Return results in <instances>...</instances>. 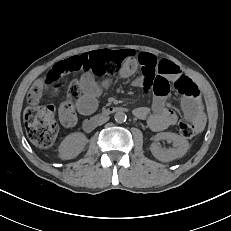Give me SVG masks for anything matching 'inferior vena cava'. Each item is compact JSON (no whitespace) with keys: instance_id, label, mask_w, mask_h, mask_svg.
<instances>
[{"instance_id":"inferior-vena-cava-1","label":"inferior vena cava","mask_w":231,"mask_h":231,"mask_svg":"<svg viewBox=\"0 0 231 231\" xmlns=\"http://www.w3.org/2000/svg\"><path fill=\"white\" fill-rule=\"evenodd\" d=\"M111 120L112 118L107 116L101 120L102 122L99 125L102 127L104 124H106L108 121L110 122Z\"/></svg>"}]
</instances>
